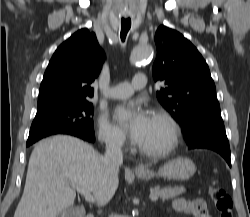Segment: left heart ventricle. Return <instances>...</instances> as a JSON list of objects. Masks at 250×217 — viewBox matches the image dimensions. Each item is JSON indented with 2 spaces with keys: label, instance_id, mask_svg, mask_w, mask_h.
I'll list each match as a JSON object with an SVG mask.
<instances>
[{
  "label": "left heart ventricle",
  "instance_id": "b2bd125f",
  "mask_svg": "<svg viewBox=\"0 0 250 217\" xmlns=\"http://www.w3.org/2000/svg\"><path fill=\"white\" fill-rule=\"evenodd\" d=\"M169 139L170 132L167 124L159 117L151 115L149 124L138 144L143 148L156 150L167 145Z\"/></svg>",
  "mask_w": 250,
  "mask_h": 217
}]
</instances>
